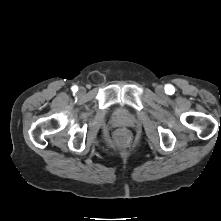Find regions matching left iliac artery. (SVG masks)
<instances>
[{
    "mask_svg": "<svg viewBox=\"0 0 221 221\" xmlns=\"http://www.w3.org/2000/svg\"><path fill=\"white\" fill-rule=\"evenodd\" d=\"M165 92L169 95H172L174 93V87L172 85H166Z\"/></svg>",
    "mask_w": 221,
    "mask_h": 221,
    "instance_id": "1",
    "label": "left iliac artery"
}]
</instances>
